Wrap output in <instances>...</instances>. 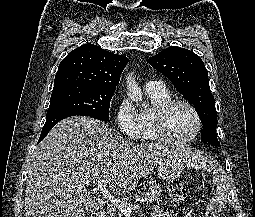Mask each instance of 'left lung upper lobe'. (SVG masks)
Returning a JSON list of instances; mask_svg holds the SVG:
<instances>
[{
	"label": "left lung upper lobe",
	"mask_w": 255,
	"mask_h": 217,
	"mask_svg": "<svg viewBox=\"0 0 255 217\" xmlns=\"http://www.w3.org/2000/svg\"><path fill=\"white\" fill-rule=\"evenodd\" d=\"M148 62L194 105L203 123L201 142L220 147L216 135L215 100L210 91L208 71L202 59L187 49L169 47L149 58Z\"/></svg>",
	"instance_id": "left-lung-upper-lobe-1"
}]
</instances>
